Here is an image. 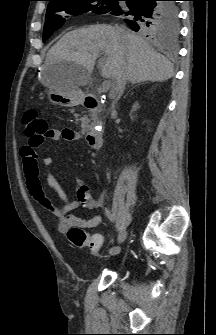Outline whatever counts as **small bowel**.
<instances>
[{
  "label": "small bowel",
  "mask_w": 216,
  "mask_h": 335,
  "mask_svg": "<svg viewBox=\"0 0 216 335\" xmlns=\"http://www.w3.org/2000/svg\"><path fill=\"white\" fill-rule=\"evenodd\" d=\"M79 139L80 135L72 129H50L47 132L44 142L47 140L77 141ZM21 156L23 160L26 185L30 195L41 205L44 210L58 218V227L61 232H67L72 227L94 228L100 226L103 223V219L99 215L93 216L90 219H83L76 215L70 214L71 211L77 209L80 205H85L89 208L99 207L100 200L99 198H94L88 195L86 188L79 190L77 199L70 198L60 187L55 184L53 180L52 174L49 171V168L52 164V159L50 157H45L43 159V165L46 168V180L51 186H53L63 201L61 205L54 203L42 187L36 151L29 146H23L21 148ZM92 236L100 237L102 239V236L97 233L93 234ZM96 252H98V250L94 253Z\"/></svg>",
  "instance_id": "c3829d8e"
}]
</instances>
